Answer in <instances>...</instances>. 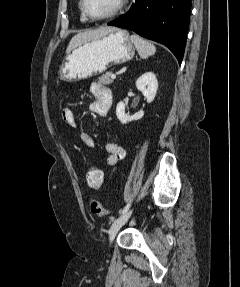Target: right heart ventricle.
<instances>
[{
  "mask_svg": "<svg viewBox=\"0 0 240 287\" xmlns=\"http://www.w3.org/2000/svg\"><path fill=\"white\" fill-rule=\"evenodd\" d=\"M78 8H79V11H80V19L82 21H87V17L84 15L82 9H81V0H79L78 2Z\"/></svg>",
  "mask_w": 240,
  "mask_h": 287,
  "instance_id": "e07e8e85",
  "label": "right heart ventricle"
}]
</instances>
